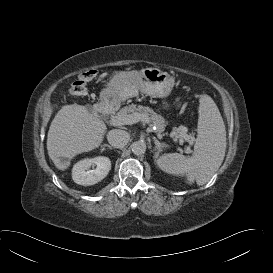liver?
I'll use <instances>...</instances> for the list:
<instances>
[{
    "instance_id": "1",
    "label": "liver",
    "mask_w": 273,
    "mask_h": 273,
    "mask_svg": "<svg viewBox=\"0 0 273 273\" xmlns=\"http://www.w3.org/2000/svg\"><path fill=\"white\" fill-rule=\"evenodd\" d=\"M119 74L135 78L138 71L115 72L114 76ZM111 85L112 80L108 86ZM106 130L105 123L85 106L65 105L51 122L47 135L48 155L57 169L65 170L73 157L97 148L102 143Z\"/></svg>"
}]
</instances>
